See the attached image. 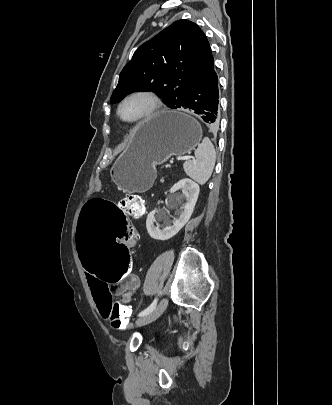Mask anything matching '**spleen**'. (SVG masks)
Returning <instances> with one entry per match:
<instances>
[{
    "mask_svg": "<svg viewBox=\"0 0 332 405\" xmlns=\"http://www.w3.org/2000/svg\"><path fill=\"white\" fill-rule=\"evenodd\" d=\"M195 157L196 159L185 161L183 168L187 176L203 185L209 180L216 161L215 148L208 137L195 150Z\"/></svg>",
    "mask_w": 332,
    "mask_h": 405,
    "instance_id": "1",
    "label": "spleen"
}]
</instances>
